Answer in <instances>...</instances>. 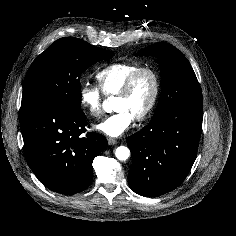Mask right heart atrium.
I'll return each mask as SVG.
<instances>
[{
  "instance_id": "obj_1",
  "label": "right heart atrium",
  "mask_w": 236,
  "mask_h": 236,
  "mask_svg": "<svg viewBox=\"0 0 236 236\" xmlns=\"http://www.w3.org/2000/svg\"><path fill=\"white\" fill-rule=\"evenodd\" d=\"M82 106L93 117H101L103 113V96L98 87L84 84L79 90Z\"/></svg>"
}]
</instances>
